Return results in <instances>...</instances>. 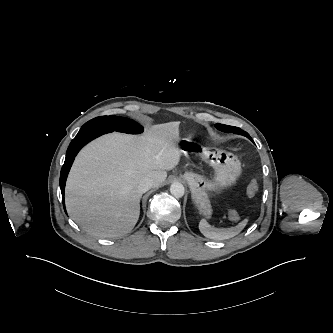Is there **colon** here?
Instances as JSON below:
<instances>
[{
  "label": "colon",
  "instance_id": "colon-1",
  "mask_svg": "<svg viewBox=\"0 0 333 333\" xmlns=\"http://www.w3.org/2000/svg\"><path fill=\"white\" fill-rule=\"evenodd\" d=\"M257 191H258V183L255 180H252L247 186L246 194L247 196L251 197L254 196L257 193ZM228 217L232 222H236L240 218L239 213L236 210L229 211Z\"/></svg>",
  "mask_w": 333,
  "mask_h": 333
}]
</instances>
